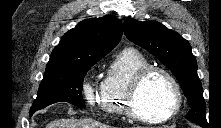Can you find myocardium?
<instances>
[{"label": "myocardium", "instance_id": "f54148a6", "mask_svg": "<svg viewBox=\"0 0 221 128\" xmlns=\"http://www.w3.org/2000/svg\"><path fill=\"white\" fill-rule=\"evenodd\" d=\"M161 73L163 74L168 82L170 83L172 92H173V104L170 109L159 117H149L142 113L137 107V97L140 88L142 87L143 83L153 74ZM182 97L180 87L174 78V76L167 71L166 69L158 66H148L143 68L140 72H138L134 79L132 80L128 93H127V111L128 114L136 120L150 123V124H159L164 123L173 117L179 112L181 108Z\"/></svg>", "mask_w": 221, "mask_h": 128}]
</instances>
